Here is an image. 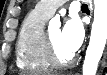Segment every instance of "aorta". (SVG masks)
<instances>
[{
    "label": "aorta",
    "mask_w": 107,
    "mask_h": 75,
    "mask_svg": "<svg viewBox=\"0 0 107 75\" xmlns=\"http://www.w3.org/2000/svg\"><path fill=\"white\" fill-rule=\"evenodd\" d=\"M107 43V0H94V21L83 63V75H96Z\"/></svg>",
    "instance_id": "obj_1"
}]
</instances>
